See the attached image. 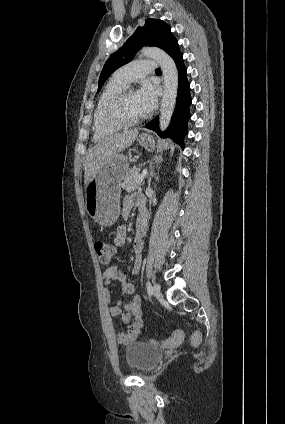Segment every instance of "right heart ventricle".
<instances>
[{
  "instance_id": "e07e8e85",
  "label": "right heart ventricle",
  "mask_w": 285,
  "mask_h": 424,
  "mask_svg": "<svg viewBox=\"0 0 285 424\" xmlns=\"http://www.w3.org/2000/svg\"><path fill=\"white\" fill-rule=\"evenodd\" d=\"M124 84L118 82L113 77L104 87L99 96L93 117V135L95 140H101L109 137L120 130L118 127L108 126L103 121V113L109 102L123 89Z\"/></svg>"
}]
</instances>
